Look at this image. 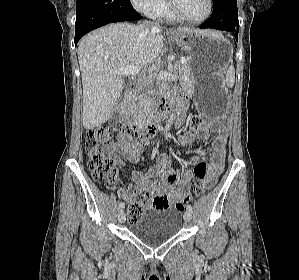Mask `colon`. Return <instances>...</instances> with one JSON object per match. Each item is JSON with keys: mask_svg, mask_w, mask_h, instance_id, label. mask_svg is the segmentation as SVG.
Returning <instances> with one entry per match:
<instances>
[{"mask_svg": "<svg viewBox=\"0 0 299 280\" xmlns=\"http://www.w3.org/2000/svg\"><path fill=\"white\" fill-rule=\"evenodd\" d=\"M204 123V118L196 115L190 120L189 133H201L199 128ZM115 140L114 131L108 126H99L89 129L85 136V145L88 154V167L95 181L109 187L116 183L118 171L116 161L104 151V147L111 145ZM195 177V195H201L213 183L207 180V165L204 162L197 163L193 168ZM189 197L178 202L175 207L182 211ZM145 212V206L141 201L133 200L128 205V220L130 223L138 221Z\"/></svg>", "mask_w": 299, "mask_h": 280, "instance_id": "5ec220e1", "label": "colon"}]
</instances>
